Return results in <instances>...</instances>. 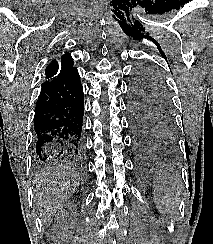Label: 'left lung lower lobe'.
Returning a JSON list of instances; mask_svg holds the SVG:
<instances>
[{"label": "left lung lower lobe", "mask_w": 213, "mask_h": 244, "mask_svg": "<svg viewBox=\"0 0 213 244\" xmlns=\"http://www.w3.org/2000/svg\"><path fill=\"white\" fill-rule=\"evenodd\" d=\"M133 147L137 154L152 157L162 151L165 140L158 136L155 128L141 116L130 113Z\"/></svg>", "instance_id": "0a47b994"}]
</instances>
